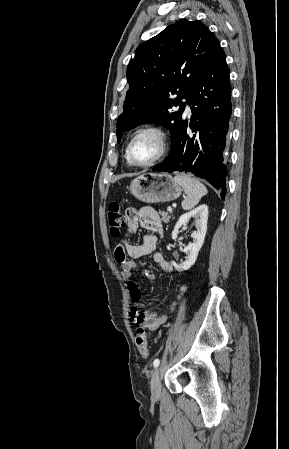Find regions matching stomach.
I'll return each instance as SVG.
<instances>
[{"mask_svg":"<svg viewBox=\"0 0 289 449\" xmlns=\"http://www.w3.org/2000/svg\"><path fill=\"white\" fill-rule=\"evenodd\" d=\"M129 191L142 202L159 203L177 199L182 189L167 173H146L131 181Z\"/></svg>","mask_w":289,"mask_h":449,"instance_id":"stomach-1","label":"stomach"}]
</instances>
